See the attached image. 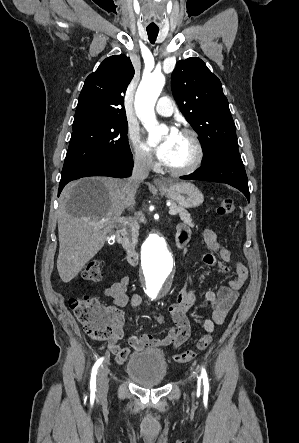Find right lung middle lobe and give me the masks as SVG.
Masks as SVG:
<instances>
[{
	"label": "right lung middle lobe",
	"instance_id": "1",
	"mask_svg": "<svg viewBox=\"0 0 299 443\" xmlns=\"http://www.w3.org/2000/svg\"><path fill=\"white\" fill-rule=\"evenodd\" d=\"M126 118H107L73 125L61 179L104 160L130 157Z\"/></svg>",
	"mask_w": 299,
	"mask_h": 443
}]
</instances>
